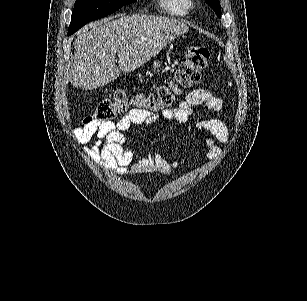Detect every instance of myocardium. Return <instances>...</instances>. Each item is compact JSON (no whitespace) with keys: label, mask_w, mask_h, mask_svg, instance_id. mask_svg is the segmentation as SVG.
<instances>
[{"label":"myocardium","mask_w":307,"mask_h":301,"mask_svg":"<svg viewBox=\"0 0 307 301\" xmlns=\"http://www.w3.org/2000/svg\"><path fill=\"white\" fill-rule=\"evenodd\" d=\"M189 11H190V12H198V11H199V8H198V7H195V8H194V7H190V8H189Z\"/></svg>","instance_id":"myocardium-1"}]
</instances>
